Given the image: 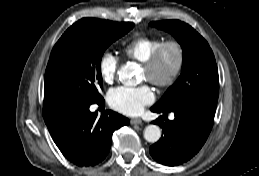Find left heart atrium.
I'll list each match as a JSON object with an SVG mask.
<instances>
[{"label": "left heart atrium", "instance_id": "obj_1", "mask_svg": "<svg viewBox=\"0 0 259 176\" xmlns=\"http://www.w3.org/2000/svg\"><path fill=\"white\" fill-rule=\"evenodd\" d=\"M154 101V93L148 85L137 87L119 86L108 93V102L114 110L134 116Z\"/></svg>", "mask_w": 259, "mask_h": 176}]
</instances>
